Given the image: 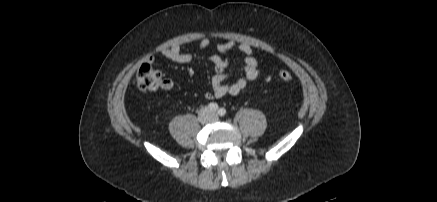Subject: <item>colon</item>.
<instances>
[{
  "label": "colon",
  "mask_w": 437,
  "mask_h": 202,
  "mask_svg": "<svg viewBox=\"0 0 437 202\" xmlns=\"http://www.w3.org/2000/svg\"><path fill=\"white\" fill-rule=\"evenodd\" d=\"M278 76L283 81H290L292 74L289 71L281 70ZM163 78L160 72L154 69L149 63H143L137 71L136 81L140 89L146 91H156L162 88Z\"/></svg>",
  "instance_id": "colon-1"
}]
</instances>
